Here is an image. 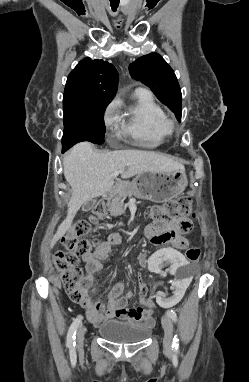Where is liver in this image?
I'll list each match as a JSON object with an SVG mask.
<instances>
[{
  "label": "liver",
  "instance_id": "liver-1",
  "mask_svg": "<svg viewBox=\"0 0 249 382\" xmlns=\"http://www.w3.org/2000/svg\"><path fill=\"white\" fill-rule=\"evenodd\" d=\"M63 167L65 179L72 188V197L67 216L59 225L51 247L64 237L77 211L86 201L113 190L115 171H121V178L127 179L142 172L171 173L185 169L182 163L159 153L136 149L101 153L89 142L76 144L65 155Z\"/></svg>",
  "mask_w": 249,
  "mask_h": 382
}]
</instances>
